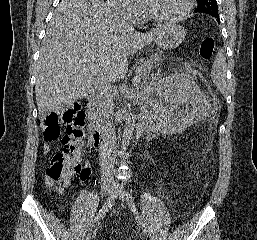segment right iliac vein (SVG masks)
I'll use <instances>...</instances> for the list:
<instances>
[{"label": "right iliac vein", "mask_w": 257, "mask_h": 240, "mask_svg": "<svg viewBox=\"0 0 257 240\" xmlns=\"http://www.w3.org/2000/svg\"><path fill=\"white\" fill-rule=\"evenodd\" d=\"M113 190V185L106 187V191L110 192ZM84 240H90V236L87 235Z\"/></svg>", "instance_id": "obj_1"}]
</instances>
